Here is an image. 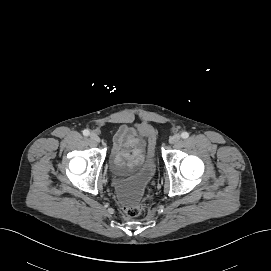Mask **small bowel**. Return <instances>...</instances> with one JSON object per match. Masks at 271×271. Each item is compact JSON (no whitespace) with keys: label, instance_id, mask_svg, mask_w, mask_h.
<instances>
[{"label":"small bowel","instance_id":"obj_1","mask_svg":"<svg viewBox=\"0 0 271 271\" xmlns=\"http://www.w3.org/2000/svg\"><path fill=\"white\" fill-rule=\"evenodd\" d=\"M151 135L152 130L147 128ZM146 141L137 129L122 125L113 139L112 167L118 173L129 172L143 164L145 160Z\"/></svg>","mask_w":271,"mask_h":271}]
</instances>
